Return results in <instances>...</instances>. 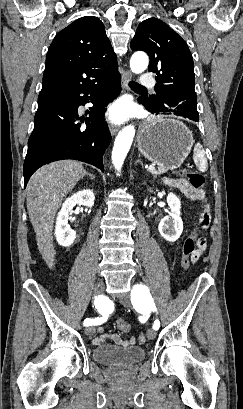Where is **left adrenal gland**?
I'll use <instances>...</instances> for the list:
<instances>
[{
	"instance_id": "a2214340",
	"label": "left adrenal gland",
	"mask_w": 243,
	"mask_h": 409,
	"mask_svg": "<svg viewBox=\"0 0 243 409\" xmlns=\"http://www.w3.org/2000/svg\"><path fill=\"white\" fill-rule=\"evenodd\" d=\"M139 162H140V161H139V160H137V161H135V164H137V163H139ZM140 163H141V165H143V164H142V162H140Z\"/></svg>"
}]
</instances>
